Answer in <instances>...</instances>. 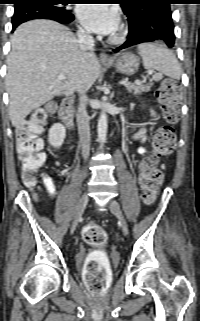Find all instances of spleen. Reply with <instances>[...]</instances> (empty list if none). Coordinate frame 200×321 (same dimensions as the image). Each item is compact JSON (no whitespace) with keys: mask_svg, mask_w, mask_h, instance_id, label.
Instances as JSON below:
<instances>
[{"mask_svg":"<svg viewBox=\"0 0 200 321\" xmlns=\"http://www.w3.org/2000/svg\"><path fill=\"white\" fill-rule=\"evenodd\" d=\"M142 57L143 66L147 70H157L155 79H161L162 75L179 80L182 74L181 67L173 52L164 45L158 43H141L137 46Z\"/></svg>","mask_w":200,"mask_h":321,"instance_id":"spleen-1","label":"spleen"}]
</instances>
